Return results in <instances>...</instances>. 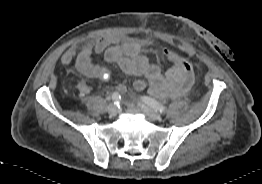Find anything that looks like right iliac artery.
<instances>
[{"instance_id": "obj_1", "label": "right iliac artery", "mask_w": 262, "mask_h": 184, "mask_svg": "<svg viewBox=\"0 0 262 184\" xmlns=\"http://www.w3.org/2000/svg\"><path fill=\"white\" fill-rule=\"evenodd\" d=\"M112 100H113L114 104L119 105V103H120V101H121V96H120V94H119L118 92H114V93L112 94Z\"/></svg>"}]
</instances>
